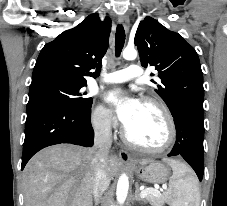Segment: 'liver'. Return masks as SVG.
Listing matches in <instances>:
<instances>
[{
  "instance_id": "6515ba94",
  "label": "liver",
  "mask_w": 227,
  "mask_h": 206,
  "mask_svg": "<svg viewBox=\"0 0 227 206\" xmlns=\"http://www.w3.org/2000/svg\"><path fill=\"white\" fill-rule=\"evenodd\" d=\"M92 158L91 149L70 144L35 154L23 171L25 206H93ZM119 165L117 157H108L110 175L117 173Z\"/></svg>"
}]
</instances>
